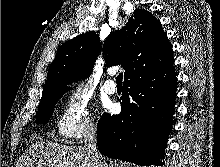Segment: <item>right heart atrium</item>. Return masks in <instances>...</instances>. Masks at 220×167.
<instances>
[{
  "mask_svg": "<svg viewBox=\"0 0 220 167\" xmlns=\"http://www.w3.org/2000/svg\"><path fill=\"white\" fill-rule=\"evenodd\" d=\"M56 127L68 143H76L96 131L91 102L86 93L75 89L66 96L57 116Z\"/></svg>",
  "mask_w": 220,
  "mask_h": 167,
  "instance_id": "d8ad5b80",
  "label": "right heart atrium"
}]
</instances>
